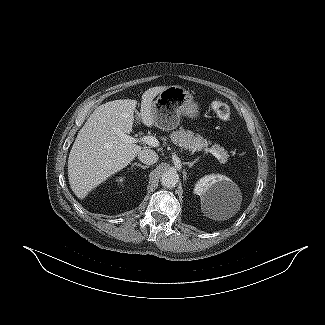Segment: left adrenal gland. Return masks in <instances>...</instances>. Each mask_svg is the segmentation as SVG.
I'll list each match as a JSON object with an SVG mask.
<instances>
[{"instance_id":"left-adrenal-gland-1","label":"left adrenal gland","mask_w":325,"mask_h":325,"mask_svg":"<svg viewBox=\"0 0 325 325\" xmlns=\"http://www.w3.org/2000/svg\"><path fill=\"white\" fill-rule=\"evenodd\" d=\"M199 158L198 159H195L194 161L192 162H187L186 164L189 166V167H192L196 162H198Z\"/></svg>"}]
</instances>
